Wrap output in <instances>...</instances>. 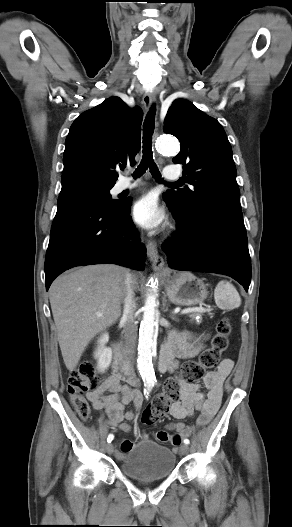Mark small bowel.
Returning a JSON list of instances; mask_svg holds the SVG:
<instances>
[{
    "label": "small bowel",
    "instance_id": "small-bowel-1",
    "mask_svg": "<svg viewBox=\"0 0 292 527\" xmlns=\"http://www.w3.org/2000/svg\"><path fill=\"white\" fill-rule=\"evenodd\" d=\"M201 347V344L194 340L189 333L173 332L164 346L169 356L168 369L176 368V358L193 357L201 350ZM232 367V360L224 359L216 370L205 375L203 382L207 389L206 394L200 391L197 384H188L175 377L174 379L178 383L177 398L170 403L168 412L178 422L167 426L168 430L174 431H159L157 439L161 442H169L174 446L179 445L181 437L189 433V429L180 421L192 416L195 411L200 412L197 424L205 425L219 409L223 383L230 374ZM122 382V378L114 373L97 390L89 392L87 398L94 409L106 412L110 427L130 432L132 427L126 421L132 420L135 414L133 411H126L125 406L133 403L138 409L141 406L142 397L137 391ZM141 437L143 440H147L146 434H142ZM132 445L130 441H124L121 444L120 454L127 452L132 448Z\"/></svg>",
    "mask_w": 292,
    "mask_h": 527
}]
</instances>
